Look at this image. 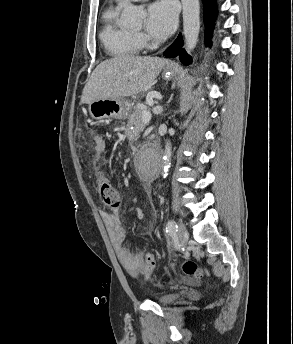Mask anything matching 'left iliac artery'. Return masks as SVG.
<instances>
[{
    "label": "left iliac artery",
    "instance_id": "obj_1",
    "mask_svg": "<svg viewBox=\"0 0 293 344\" xmlns=\"http://www.w3.org/2000/svg\"><path fill=\"white\" fill-rule=\"evenodd\" d=\"M178 229V226L174 220H169L166 226V232L170 235L174 234Z\"/></svg>",
    "mask_w": 293,
    "mask_h": 344
}]
</instances>
